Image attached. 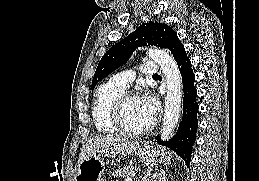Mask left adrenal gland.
Listing matches in <instances>:
<instances>
[{
	"label": "left adrenal gland",
	"mask_w": 259,
	"mask_h": 181,
	"mask_svg": "<svg viewBox=\"0 0 259 181\" xmlns=\"http://www.w3.org/2000/svg\"><path fill=\"white\" fill-rule=\"evenodd\" d=\"M164 179H165V171L161 170V171L153 173L148 178V181H164Z\"/></svg>",
	"instance_id": "obj_1"
}]
</instances>
